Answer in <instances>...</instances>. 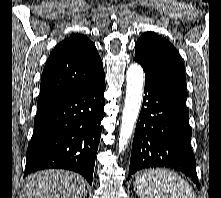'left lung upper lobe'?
Returning a JSON list of instances; mask_svg holds the SVG:
<instances>
[{
  "label": "left lung upper lobe",
  "instance_id": "left-lung-upper-lobe-1",
  "mask_svg": "<svg viewBox=\"0 0 221 198\" xmlns=\"http://www.w3.org/2000/svg\"><path fill=\"white\" fill-rule=\"evenodd\" d=\"M134 60L141 64L145 75L186 103V75L181 57L175 47L154 32L141 35L135 45Z\"/></svg>",
  "mask_w": 221,
  "mask_h": 198
}]
</instances>
